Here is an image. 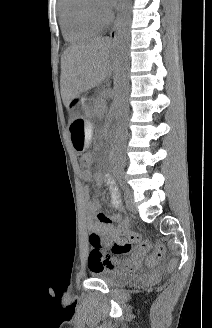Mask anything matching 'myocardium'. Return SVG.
Wrapping results in <instances>:
<instances>
[{
    "label": "myocardium",
    "mask_w": 212,
    "mask_h": 328,
    "mask_svg": "<svg viewBox=\"0 0 212 328\" xmlns=\"http://www.w3.org/2000/svg\"><path fill=\"white\" fill-rule=\"evenodd\" d=\"M90 15L98 22L107 24L111 20V14L103 9L97 2V0H91L88 6Z\"/></svg>",
    "instance_id": "f54148a6"
}]
</instances>
